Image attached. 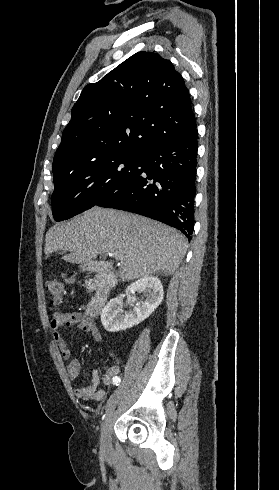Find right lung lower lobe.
<instances>
[{
    "label": "right lung lower lobe",
    "instance_id": "right-lung-lower-lobe-1",
    "mask_svg": "<svg viewBox=\"0 0 279 490\" xmlns=\"http://www.w3.org/2000/svg\"><path fill=\"white\" fill-rule=\"evenodd\" d=\"M198 131L188 133L142 157V173L97 206L138 213L180 230L190 241Z\"/></svg>",
    "mask_w": 279,
    "mask_h": 490
}]
</instances>
